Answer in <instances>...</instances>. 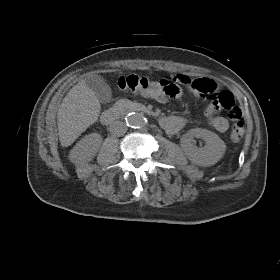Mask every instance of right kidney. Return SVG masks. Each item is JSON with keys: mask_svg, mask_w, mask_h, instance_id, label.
Instances as JSON below:
<instances>
[{"mask_svg": "<svg viewBox=\"0 0 280 280\" xmlns=\"http://www.w3.org/2000/svg\"><path fill=\"white\" fill-rule=\"evenodd\" d=\"M102 137L97 133H92L83 137L73 149L82 159L91 160L101 145Z\"/></svg>", "mask_w": 280, "mask_h": 280, "instance_id": "1", "label": "right kidney"}]
</instances>
